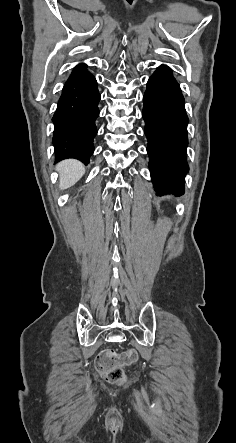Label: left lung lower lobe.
Listing matches in <instances>:
<instances>
[{"mask_svg": "<svg viewBox=\"0 0 236 443\" xmlns=\"http://www.w3.org/2000/svg\"><path fill=\"white\" fill-rule=\"evenodd\" d=\"M143 108L149 168L158 195L184 193L188 117L172 70L161 65L147 83Z\"/></svg>", "mask_w": 236, "mask_h": 443, "instance_id": "left-lung-lower-lobe-1", "label": "left lung lower lobe"}]
</instances>
